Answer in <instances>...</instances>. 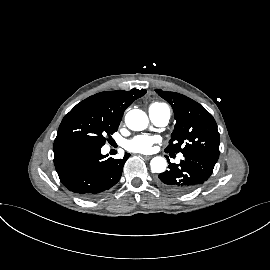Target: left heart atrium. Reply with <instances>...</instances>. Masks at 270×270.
<instances>
[{"mask_svg":"<svg viewBox=\"0 0 270 270\" xmlns=\"http://www.w3.org/2000/svg\"><path fill=\"white\" fill-rule=\"evenodd\" d=\"M157 141L158 138L154 136L138 135L128 140L125 144V148L131 152L149 153L152 151Z\"/></svg>","mask_w":270,"mask_h":270,"instance_id":"39dd6f15","label":"left heart atrium"}]
</instances>
